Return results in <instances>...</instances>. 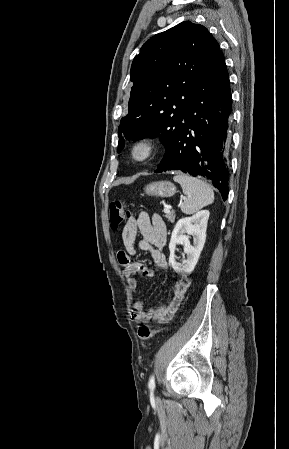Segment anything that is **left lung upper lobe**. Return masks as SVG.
<instances>
[{
    "instance_id": "left-lung-upper-lobe-1",
    "label": "left lung upper lobe",
    "mask_w": 289,
    "mask_h": 449,
    "mask_svg": "<svg viewBox=\"0 0 289 449\" xmlns=\"http://www.w3.org/2000/svg\"><path fill=\"white\" fill-rule=\"evenodd\" d=\"M219 44L202 25L184 21L150 38L134 58L128 115L118 129V152L124 138L139 140L162 133L166 151L191 101L204 69Z\"/></svg>"
}]
</instances>
